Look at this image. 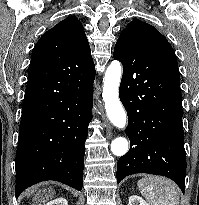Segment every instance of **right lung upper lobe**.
Returning <instances> with one entry per match:
<instances>
[{"instance_id": "cb5924a9", "label": "right lung upper lobe", "mask_w": 199, "mask_h": 205, "mask_svg": "<svg viewBox=\"0 0 199 205\" xmlns=\"http://www.w3.org/2000/svg\"><path fill=\"white\" fill-rule=\"evenodd\" d=\"M91 49L84 27L70 16L39 39L32 52L28 83H43L47 89L24 98L22 114L65 94L74 81L95 75Z\"/></svg>"}]
</instances>
